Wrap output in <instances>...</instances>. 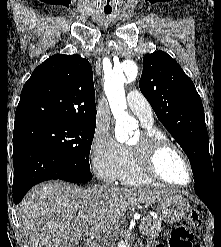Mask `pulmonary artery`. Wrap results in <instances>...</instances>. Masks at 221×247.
Returning <instances> with one entry per match:
<instances>
[{
	"label": "pulmonary artery",
	"mask_w": 221,
	"mask_h": 247,
	"mask_svg": "<svg viewBox=\"0 0 221 247\" xmlns=\"http://www.w3.org/2000/svg\"><path fill=\"white\" fill-rule=\"evenodd\" d=\"M127 106L129 110L139 118L143 126L151 127L153 125L152 108L147 99L138 91H130L127 95Z\"/></svg>",
	"instance_id": "e3ab8cb5"
}]
</instances>
